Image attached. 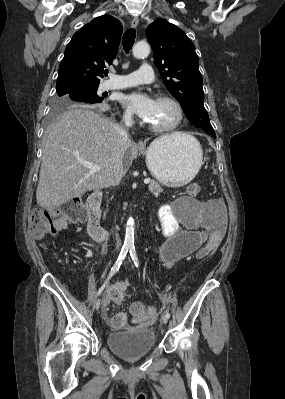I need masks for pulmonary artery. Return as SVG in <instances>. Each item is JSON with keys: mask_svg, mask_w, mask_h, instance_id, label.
<instances>
[{"mask_svg": "<svg viewBox=\"0 0 285 399\" xmlns=\"http://www.w3.org/2000/svg\"><path fill=\"white\" fill-rule=\"evenodd\" d=\"M154 78L152 69L148 63H143L138 70L131 73H115L111 79L105 81V90L123 89L138 84L152 81Z\"/></svg>", "mask_w": 285, "mask_h": 399, "instance_id": "pulmonary-artery-1", "label": "pulmonary artery"}]
</instances>
